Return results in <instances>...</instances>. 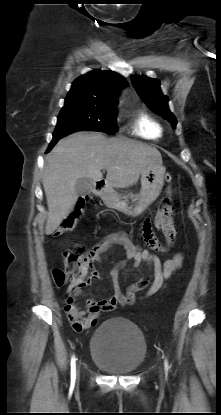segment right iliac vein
Listing matches in <instances>:
<instances>
[{
	"label": "right iliac vein",
	"mask_w": 221,
	"mask_h": 415,
	"mask_svg": "<svg viewBox=\"0 0 221 415\" xmlns=\"http://www.w3.org/2000/svg\"><path fill=\"white\" fill-rule=\"evenodd\" d=\"M77 375H79V369L77 370Z\"/></svg>",
	"instance_id": "1"
}]
</instances>
